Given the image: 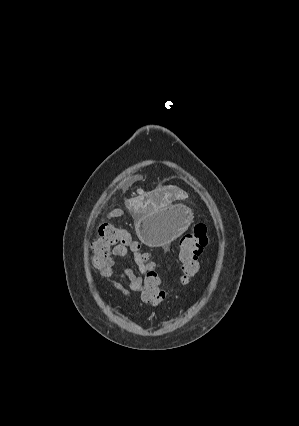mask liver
<instances>
[{
    "label": "liver",
    "mask_w": 299,
    "mask_h": 426,
    "mask_svg": "<svg viewBox=\"0 0 299 426\" xmlns=\"http://www.w3.org/2000/svg\"><path fill=\"white\" fill-rule=\"evenodd\" d=\"M139 192V194L141 195L139 198H137V199H133V200H129L126 204L128 205V206H130L132 203H137V205H138V207H140L141 209H146L147 208V205H150V204H153V200L151 199V198H149L148 200H147V203L146 204H144L142 201H143V197H142V195H143V192L142 191H138ZM155 194H156V192H154ZM123 213V211L122 210H120V209H116V210H114L113 212H111L110 213V217H115V216H120L121 214Z\"/></svg>",
    "instance_id": "1"
}]
</instances>
